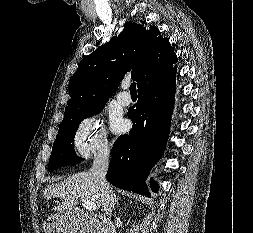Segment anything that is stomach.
<instances>
[{
    "label": "stomach",
    "mask_w": 253,
    "mask_h": 233,
    "mask_svg": "<svg viewBox=\"0 0 253 233\" xmlns=\"http://www.w3.org/2000/svg\"><path fill=\"white\" fill-rule=\"evenodd\" d=\"M45 233H79L75 228L73 212H64L47 218L43 226Z\"/></svg>",
    "instance_id": "stomach-1"
}]
</instances>
